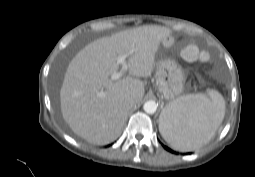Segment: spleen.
Segmentation results:
<instances>
[{
	"label": "spleen",
	"instance_id": "3e777b00",
	"mask_svg": "<svg viewBox=\"0 0 255 177\" xmlns=\"http://www.w3.org/2000/svg\"><path fill=\"white\" fill-rule=\"evenodd\" d=\"M160 118L163 138L176 150L192 151L207 144L225 115V101L217 91L190 94L169 103Z\"/></svg>",
	"mask_w": 255,
	"mask_h": 177
}]
</instances>
